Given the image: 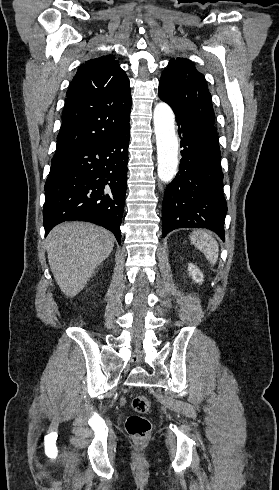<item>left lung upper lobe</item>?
Segmentation results:
<instances>
[{
	"label": "left lung upper lobe",
	"mask_w": 279,
	"mask_h": 490,
	"mask_svg": "<svg viewBox=\"0 0 279 490\" xmlns=\"http://www.w3.org/2000/svg\"><path fill=\"white\" fill-rule=\"evenodd\" d=\"M158 95L174 113L214 124L211 94L204 75L195 69L192 61L171 59L161 75Z\"/></svg>",
	"instance_id": "obj_1"
}]
</instances>
